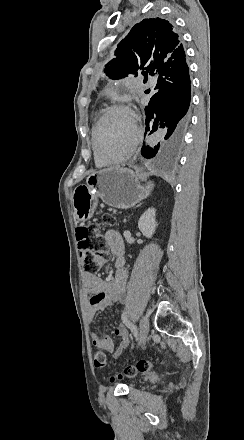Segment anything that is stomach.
<instances>
[{
  "mask_svg": "<svg viewBox=\"0 0 244 440\" xmlns=\"http://www.w3.org/2000/svg\"><path fill=\"white\" fill-rule=\"evenodd\" d=\"M141 170L130 168H107L90 174L86 184H80L72 194L74 218L77 222H87L99 204V198L112 208H132L149 196L154 184L147 182L141 186Z\"/></svg>",
  "mask_w": 244,
  "mask_h": 440,
  "instance_id": "obj_1",
  "label": "stomach"
}]
</instances>
